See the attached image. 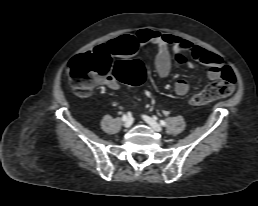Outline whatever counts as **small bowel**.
Listing matches in <instances>:
<instances>
[{"mask_svg":"<svg viewBox=\"0 0 258 206\" xmlns=\"http://www.w3.org/2000/svg\"><path fill=\"white\" fill-rule=\"evenodd\" d=\"M152 44L157 48L155 58V69L159 77L166 78L173 69V60L179 64L192 65V60L200 62L209 67L208 77L217 80L221 76L223 60L221 56L206 50L198 45L182 39L179 36L164 34L154 30H140L136 34L122 35L107 44L97 46L94 50H103L109 55L124 56L136 52L139 47ZM174 52V59L170 52ZM104 84L111 89H118L119 84L114 77H109ZM189 90V83L185 79H179L175 83V92L184 96Z\"/></svg>","mask_w":258,"mask_h":206,"instance_id":"obj_1","label":"small bowel"}]
</instances>
